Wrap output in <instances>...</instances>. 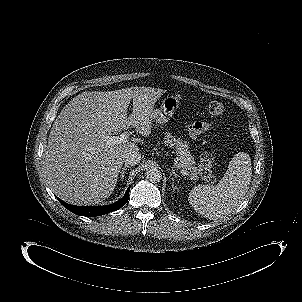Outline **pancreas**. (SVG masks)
Instances as JSON below:
<instances>
[{
  "label": "pancreas",
  "mask_w": 302,
  "mask_h": 302,
  "mask_svg": "<svg viewBox=\"0 0 302 302\" xmlns=\"http://www.w3.org/2000/svg\"><path fill=\"white\" fill-rule=\"evenodd\" d=\"M164 143L170 147H175L178 156L177 166L187 170L192 179H197L201 172L196 167V162L190 153L188 143L172 136L170 133H165Z\"/></svg>",
  "instance_id": "1"
}]
</instances>
